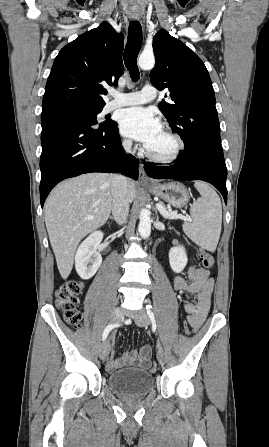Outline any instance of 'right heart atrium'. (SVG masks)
Segmentation results:
<instances>
[{
	"mask_svg": "<svg viewBox=\"0 0 269 447\" xmlns=\"http://www.w3.org/2000/svg\"><path fill=\"white\" fill-rule=\"evenodd\" d=\"M122 145H123V147H124L125 149H130L131 146H132V143H131L130 140H128V139H124V140L122 141Z\"/></svg>",
	"mask_w": 269,
	"mask_h": 447,
	"instance_id": "obj_1",
	"label": "right heart atrium"
}]
</instances>
